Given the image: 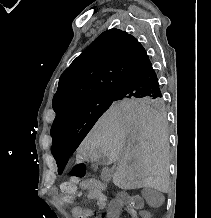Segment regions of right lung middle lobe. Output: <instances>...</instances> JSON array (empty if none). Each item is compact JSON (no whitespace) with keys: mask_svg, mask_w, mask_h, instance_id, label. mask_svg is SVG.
Masks as SVG:
<instances>
[{"mask_svg":"<svg viewBox=\"0 0 211 218\" xmlns=\"http://www.w3.org/2000/svg\"><path fill=\"white\" fill-rule=\"evenodd\" d=\"M148 107L162 112L165 109L162 97H125L116 92L91 98L58 116L52 125L53 145L70 144L77 147L99 117L110 107ZM64 166L58 165V173Z\"/></svg>","mask_w":211,"mask_h":218,"instance_id":"obj_1","label":"right lung middle lobe"}]
</instances>
